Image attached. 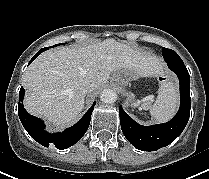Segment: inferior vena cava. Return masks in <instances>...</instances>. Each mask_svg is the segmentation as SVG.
<instances>
[{
  "label": "inferior vena cava",
  "instance_id": "1",
  "mask_svg": "<svg viewBox=\"0 0 209 179\" xmlns=\"http://www.w3.org/2000/svg\"><path fill=\"white\" fill-rule=\"evenodd\" d=\"M94 89H95L94 84L89 83L83 88V92L87 94L89 92H92Z\"/></svg>",
  "mask_w": 209,
  "mask_h": 179
}]
</instances>
